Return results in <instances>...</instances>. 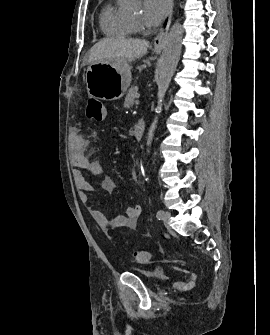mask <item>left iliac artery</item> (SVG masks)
I'll list each match as a JSON object with an SVG mask.
<instances>
[{"label": "left iliac artery", "mask_w": 270, "mask_h": 335, "mask_svg": "<svg viewBox=\"0 0 270 335\" xmlns=\"http://www.w3.org/2000/svg\"><path fill=\"white\" fill-rule=\"evenodd\" d=\"M163 214H164V211H162V210H159L158 212H157V218H161L162 216H163Z\"/></svg>", "instance_id": "obj_1"}]
</instances>
